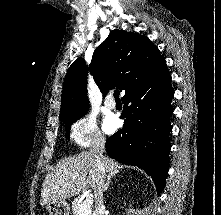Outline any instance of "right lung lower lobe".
I'll return each instance as SVG.
<instances>
[{"label":"right lung lower lobe","mask_w":221,"mask_h":215,"mask_svg":"<svg viewBox=\"0 0 221 215\" xmlns=\"http://www.w3.org/2000/svg\"><path fill=\"white\" fill-rule=\"evenodd\" d=\"M167 68L122 98L123 129L106 141L109 157L146 171L154 180L158 194L168 172L173 98Z\"/></svg>","instance_id":"1"}]
</instances>
